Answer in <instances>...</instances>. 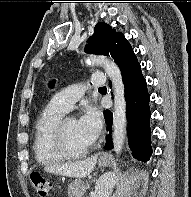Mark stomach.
Segmentation results:
<instances>
[{
	"label": "stomach",
	"instance_id": "stomach-1",
	"mask_svg": "<svg viewBox=\"0 0 191 197\" xmlns=\"http://www.w3.org/2000/svg\"><path fill=\"white\" fill-rule=\"evenodd\" d=\"M98 164H99V166L105 167L110 164V160L109 159H105V160L99 159ZM106 188H108V186ZM106 188H105V190H106ZM85 191H86V185L80 178L73 180L68 185V196L69 197H83Z\"/></svg>",
	"mask_w": 191,
	"mask_h": 197
}]
</instances>
